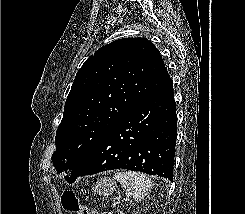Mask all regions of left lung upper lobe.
<instances>
[{
    "label": "left lung upper lobe",
    "instance_id": "1",
    "mask_svg": "<svg viewBox=\"0 0 245 214\" xmlns=\"http://www.w3.org/2000/svg\"><path fill=\"white\" fill-rule=\"evenodd\" d=\"M169 78L158 49L125 38L98 49L77 72L56 131L51 160L72 170L110 128Z\"/></svg>",
    "mask_w": 245,
    "mask_h": 214
}]
</instances>
